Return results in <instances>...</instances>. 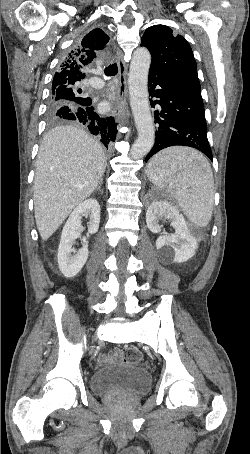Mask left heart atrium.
I'll return each mask as SVG.
<instances>
[{"mask_svg": "<svg viewBox=\"0 0 250 454\" xmlns=\"http://www.w3.org/2000/svg\"><path fill=\"white\" fill-rule=\"evenodd\" d=\"M108 107H109V106H108L107 104L104 105V109H108Z\"/></svg>", "mask_w": 250, "mask_h": 454, "instance_id": "obj_1", "label": "left heart atrium"}]
</instances>
